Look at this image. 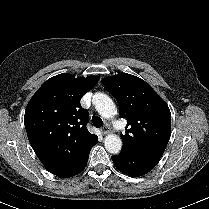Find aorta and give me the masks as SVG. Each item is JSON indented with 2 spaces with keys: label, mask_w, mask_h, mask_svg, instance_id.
Masks as SVG:
<instances>
[{
  "label": "aorta",
  "mask_w": 209,
  "mask_h": 209,
  "mask_svg": "<svg viewBox=\"0 0 209 209\" xmlns=\"http://www.w3.org/2000/svg\"><path fill=\"white\" fill-rule=\"evenodd\" d=\"M99 115L104 118H112L116 114V107L113 101L104 93H95L92 99ZM105 148L111 154H118L122 148V141L119 136L109 134L106 136Z\"/></svg>",
  "instance_id": "1"
}]
</instances>
